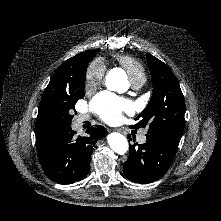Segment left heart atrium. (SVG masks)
Here are the masks:
<instances>
[{
	"label": "left heart atrium",
	"mask_w": 221,
	"mask_h": 221,
	"mask_svg": "<svg viewBox=\"0 0 221 221\" xmlns=\"http://www.w3.org/2000/svg\"><path fill=\"white\" fill-rule=\"evenodd\" d=\"M91 108L105 122L114 123L120 120L122 113L132 109V104L110 92H102L92 100Z\"/></svg>",
	"instance_id": "left-heart-atrium-1"
}]
</instances>
